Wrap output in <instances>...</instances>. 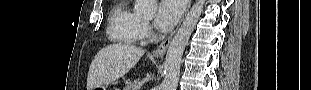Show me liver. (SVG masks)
I'll use <instances>...</instances> for the list:
<instances>
[{
    "mask_svg": "<svg viewBox=\"0 0 311 90\" xmlns=\"http://www.w3.org/2000/svg\"><path fill=\"white\" fill-rule=\"evenodd\" d=\"M145 50L131 44H111L101 49L91 62L87 90L114 82L129 72Z\"/></svg>",
    "mask_w": 311,
    "mask_h": 90,
    "instance_id": "obj_1",
    "label": "liver"
}]
</instances>
